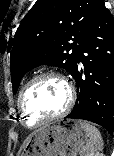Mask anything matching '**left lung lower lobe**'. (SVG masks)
Listing matches in <instances>:
<instances>
[{
    "instance_id": "1",
    "label": "left lung lower lobe",
    "mask_w": 114,
    "mask_h": 156,
    "mask_svg": "<svg viewBox=\"0 0 114 156\" xmlns=\"http://www.w3.org/2000/svg\"><path fill=\"white\" fill-rule=\"evenodd\" d=\"M73 77L77 101L66 118L97 123L114 131V19L100 1L77 56Z\"/></svg>"
}]
</instances>
